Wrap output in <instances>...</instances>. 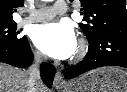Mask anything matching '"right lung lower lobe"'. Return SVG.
Wrapping results in <instances>:
<instances>
[{
  "instance_id": "1",
  "label": "right lung lower lobe",
  "mask_w": 127,
  "mask_h": 92,
  "mask_svg": "<svg viewBox=\"0 0 127 92\" xmlns=\"http://www.w3.org/2000/svg\"><path fill=\"white\" fill-rule=\"evenodd\" d=\"M32 52L28 41L21 45L0 42V62L16 67H25L31 63ZM56 69L52 64L43 63L41 66V77L45 85L52 86Z\"/></svg>"
}]
</instances>
